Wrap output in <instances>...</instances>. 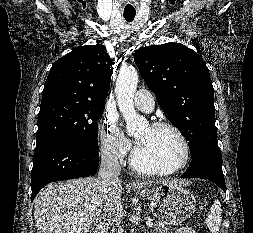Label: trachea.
<instances>
[{"mask_svg":"<svg viewBox=\"0 0 253 233\" xmlns=\"http://www.w3.org/2000/svg\"><path fill=\"white\" fill-rule=\"evenodd\" d=\"M135 17V12L133 13H124V18L126 19L127 22L133 21Z\"/></svg>","mask_w":253,"mask_h":233,"instance_id":"3493384b","label":"trachea"}]
</instances>
